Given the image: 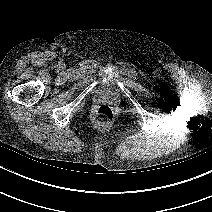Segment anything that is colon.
I'll use <instances>...</instances> for the list:
<instances>
[{"label":"colon","mask_w":212,"mask_h":212,"mask_svg":"<svg viewBox=\"0 0 212 212\" xmlns=\"http://www.w3.org/2000/svg\"><path fill=\"white\" fill-rule=\"evenodd\" d=\"M93 119L100 126H108L114 120V112L111 107L100 105L95 109Z\"/></svg>","instance_id":"5ec220e1"}]
</instances>
